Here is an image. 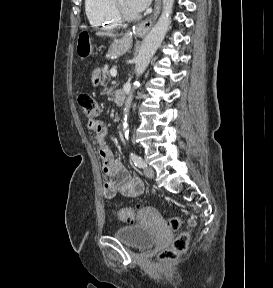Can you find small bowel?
<instances>
[{
  "mask_svg": "<svg viewBox=\"0 0 273 288\" xmlns=\"http://www.w3.org/2000/svg\"><path fill=\"white\" fill-rule=\"evenodd\" d=\"M87 128L95 133L99 154L103 162V195L110 199L116 194L136 197L143 193L144 185L139 177L131 176L118 158L107 139L106 126L97 119H90Z\"/></svg>",
  "mask_w": 273,
  "mask_h": 288,
  "instance_id": "1",
  "label": "small bowel"
}]
</instances>
